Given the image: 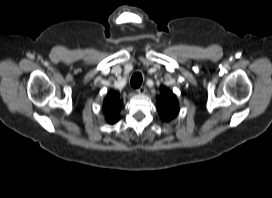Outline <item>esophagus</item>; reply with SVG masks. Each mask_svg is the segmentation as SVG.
I'll use <instances>...</instances> for the list:
<instances>
[{
	"label": "esophagus",
	"mask_w": 272,
	"mask_h": 198,
	"mask_svg": "<svg viewBox=\"0 0 272 198\" xmlns=\"http://www.w3.org/2000/svg\"><path fill=\"white\" fill-rule=\"evenodd\" d=\"M136 92H137L138 94H145V92H146V87L141 86V87H139V88L136 90Z\"/></svg>",
	"instance_id": "34e87169"
}]
</instances>
